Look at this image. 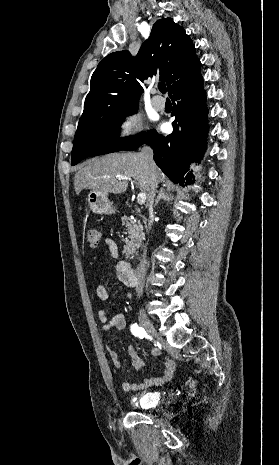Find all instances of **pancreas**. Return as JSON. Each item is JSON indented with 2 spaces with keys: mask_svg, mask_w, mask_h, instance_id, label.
Returning <instances> with one entry per match:
<instances>
[{
  "mask_svg": "<svg viewBox=\"0 0 279 465\" xmlns=\"http://www.w3.org/2000/svg\"><path fill=\"white\" fill-rule=\"evenodd\" d=\"M122 224L127 227L129 235V240L125 242L123 253L126 254L127 257H130L141 246L142 240L144 239L143 226L140 221L133 220L126 216L122 218Z\"/></svg>",
  "mask_w": 279,
  "mask_h": 465,
  "instance_id": "1",
  "label": "pancreas"
}]
</instances>
